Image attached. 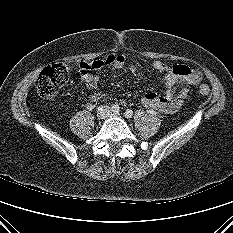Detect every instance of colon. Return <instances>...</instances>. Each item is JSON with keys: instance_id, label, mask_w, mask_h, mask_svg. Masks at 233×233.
<instances>
[{"instance_id": "1", "label": "colon", "mask_w": 233, "mask_h": 233, "mask_svg": "<svg viewBox=\"0 0 233 233\" xmlns=\"http://www.w3.org/2000/svg\"><path fill=\"white\" fill-rule=\"evenodd\" d=\"M69 68L61 63L53 64L44 68L36 78V87L43 98H54L60 88L66 83L69 76ZM176 73L184 75H198V71L187 66L177 67ZM198 93L202 96L209 94V88L205 84L198 87Z\"/></svg>"}]
</instances>
